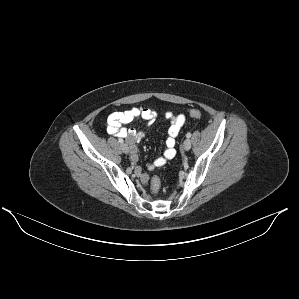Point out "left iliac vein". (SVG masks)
<instances>
[{
  "label": "left iliac vein",
  "mask_w": 299,
  "mask_h": 299,
  "mask_svg": "<svg viewBox=\"0 0 299 299\" xmlns=\"http://www.w3.org/2000/svg\"><path fill=\"white\" fill-rule=\"evenodd\" d=\"M183 148L184 150L188 151L190 148H191V141L190 139H186L184 142H183Z\"/></svg>",
  "instance_id": "obj_1"
}]
</instances>
